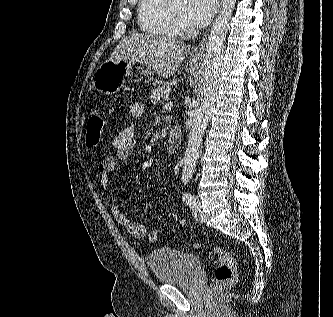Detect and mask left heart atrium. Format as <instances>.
Returning <instances> with one entry per match:
<instances>
[{
    "label": "left heart atrium",
    "instance_id": "obj_1",
    "mask_svg": "<svg viewBox=\"0 0 333 317\" xmlns=\"http://www.w3.org/2000/svg\"><path fill=\"white\" fill-rule=\"evenodd\" d=\"M216 10V0H188L184 9L185 20L196 27L206 25Z\"/></svg>",
    "mask_w": 333,
    "mask_h": 317
}]
</instances>
